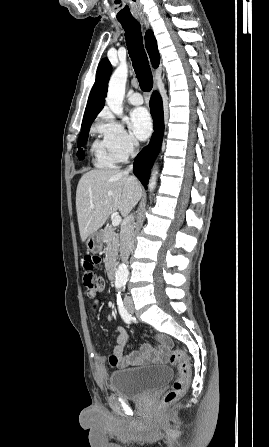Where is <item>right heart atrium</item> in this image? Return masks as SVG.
Wrapping results in <instances>:
<instances>
[{"mask_svg": "<svg viewBox=\"0 0 269 447\" xmlns=\"http://www.w3.org/2000/svg\"><path fill=\"white\" fill-rule=\"evenodd\" d=\"M96 130L108 143L109 148L118 160L132 156L138 143L133 135L109 112H104L99 119Z\"/></svg>", "mask_w": 269, "mask_h": 447, "instance_id": "right-heart-atrium-1", "label": "right heart atrium"}]
</instances>
